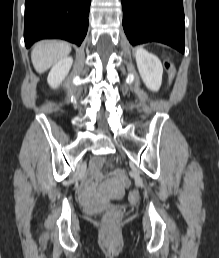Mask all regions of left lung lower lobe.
Segmentation results:
<instances>
[{
    "label": "left lung lower lobe",
    "mask_w": 219,
    "mask_h": 258,
    "mask_svg": "<svg viewBox=\"0 0 219 258\" xmlns=\"http://www.w3.org/2000/svg\"><path fill=\"white\" fill-rule=\"evenodd\" d=\"M122 8L123 28L133 46L160 42L184 53L182 0H122Z\"/></svg>",
    "instance_id": "left-lung-lower-lobe-1"
}]
</instances>
